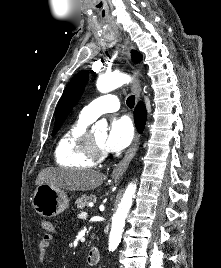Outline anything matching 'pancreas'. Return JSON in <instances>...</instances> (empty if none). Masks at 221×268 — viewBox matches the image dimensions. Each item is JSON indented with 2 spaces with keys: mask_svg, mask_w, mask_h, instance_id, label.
Returning a JSON list of instances; mask_svg holds the SVG:
<instances>
[{
  "mask_svg": "<svg viewBox=\"0 0 221 268\" xmlns=\"http://www.w3.org/2000/svg\"><path fill=\"white\" fill-rule=\"evenodd\" d=\"M96 198L94 195H90V196H87V195H82L81 197L77 198L76 199V204H77V208L78 209H83L85 208L86 206H88V203L90 201H94Z\"/></svg>",
  "mask_w": 221,
  "mask_h": 268,
  "instance_id": "cf45deb5",
  "label": "pancreas"
}]
</instances>
